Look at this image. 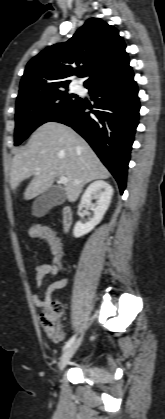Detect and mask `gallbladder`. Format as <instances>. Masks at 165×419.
<instances>
[{
  "mask_svg": "<svg viewBox=\"0 0 165 419\" xmlns=\"http://www.w3.org/2000/svg\"><path fill=\"white\" fill-rule=\"evenodd\" d=\"M65 200L66 195L62 189L51 187L34 201L32 214L36 217L44 216L52 207L63 204Z\"/></svg>",
  "mask_w": 165,
  "mask_h": 419,
  "instance_id": "bac80fb5",
  "label": "gallbladder"
}]
</instances>
